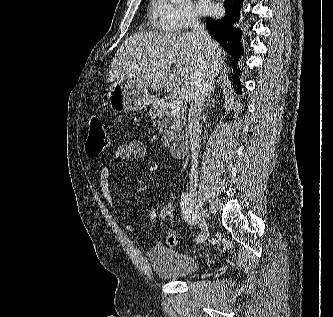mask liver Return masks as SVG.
Masks as SVG:
<instances>
[{"label":"liver","mask_w":333,"mask_h":317,"mask_svg":"<svg viewBox=\"0 0 333 317\" xmlns=\"http://www.w3.org/2000/svg\"><path fill=\"white\" fill-rule=\"evenodd\" d=\"M209 57L217 72L223 53L211 37L204 47L192 32H137L118 48L108 80L132 79L152 90L166 89L189 103L195 82L205 72Z\"/></svg>","instance_id":"1"}]
</instances>
